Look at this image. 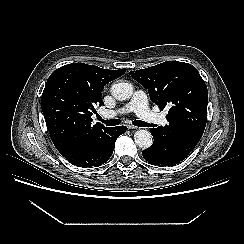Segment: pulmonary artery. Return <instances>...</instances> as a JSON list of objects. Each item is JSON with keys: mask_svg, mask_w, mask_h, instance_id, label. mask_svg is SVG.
<instances>
[{"mask_svg": "<svg viewBox=\"0 0 244 244\" xmlns=\"http://www.w3.org/2000/svg\"><path fill=\"white\" fill-rule=\"evenodd\" d=\"M130 112H135L143 121L148 123L162 126L167 123L165 115L155 113L149 108L147 95L141 90L134 93L133 98L128 104L116 110L104 111L103 116L105 118H112L117 115L127 114Z\"/></svg>", "mask_w": 244, "mask_h": 244, "instance_id": "obj_1", "label": "pulmonary artery"}]
</instances>
